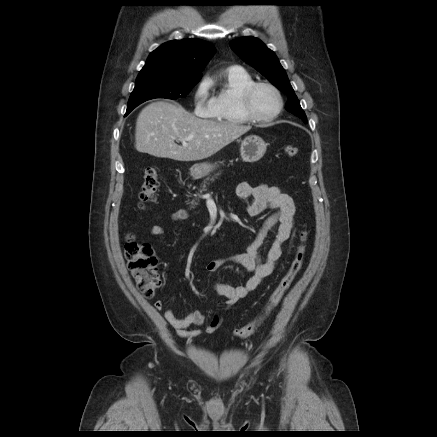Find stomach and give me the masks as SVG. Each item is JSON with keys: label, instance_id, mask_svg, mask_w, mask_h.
Listing matches in <instances>:
<instances>
[{"label": "stomach", "instance_id": "1", "mask_svg": "<svg viewBox=\"0 0 437 437\" xmlns=\"http://www.w3.org/2000/svg\"><path fill=\"white\" fill-rule=\"evenodd\" d=\"M266 149L267 145L262 138L251 135L241 142L240 154L245 162H256L264 156ZM216 167V164L204 162L193 165L190 171L193 177L202 178L211 173Z\"/></svg>", "mask_w": 437, "mask_h": 437}]
</instances>
